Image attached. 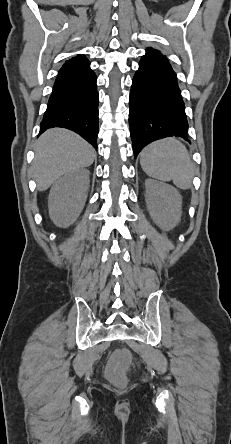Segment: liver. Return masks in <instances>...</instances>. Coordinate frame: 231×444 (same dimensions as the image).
I'll return each mask as SVG.
<instances>
[{"label":"liver","mask_w":231,"mask_h":444,"mask_svg":"<svg viewBox=\"0 0 231 444\" xmlns=\"http://www.w3.org/2000/svg\"><path fill=\"white\" fill-rule=\"evenodd\" d=\"M95 149L76 133L53 128L43 133L35 147L33 178L39 191L47 190L67 173L90 166Z\"/></svg>","instance_id":"1"}]
</instances>
